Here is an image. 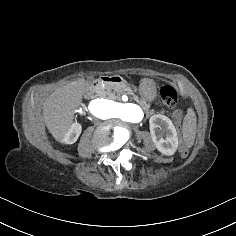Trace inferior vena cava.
Wrapping results in <instances>:
<instances>
[{"label":"inferior vena cava","instance_id":"inferior-vena-cava-1","mask_svg":"<svg viewBox=\"0 0 236 236\" xmlns=\"http://www.w3.org/2000/svg\"><path fill=\"white\" fill-rule=\"evenodd\" d=\"M92 120L94 121V124L97 126V125H100V120L97 118V117H95V116H93L92 117Z\"/></svg>","mask_w":236,"mask_h":236}]
</instances>
